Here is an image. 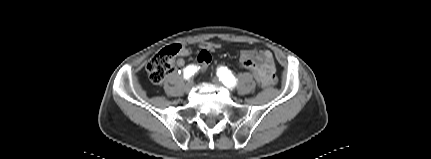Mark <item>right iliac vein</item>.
<instances>
[{"label": "right iliac vein", "instance_id": "1", "mask_svg": "<svg viewBox=\"0 0 431 159\" xmlns=\"http://www.w3.org/2000/svg\"><path fill=\"white\" fill-rule=\"evenodd\" d=\"M192 87H193V82L192 81H189L188 83H186V85L184 86V91L186 92V93H188V92H190V90L192 89Z\"/></svg>", "mask_w": 431, "mask_h": 159}]
</instances>
